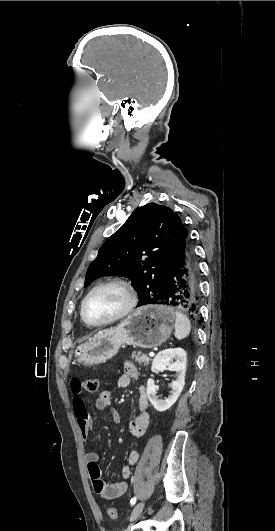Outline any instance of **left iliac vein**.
<instances>
[{
	"mask_svg": "<svg viewBox=\"0 0 275 531\" xmlns=\"http://www.w3.org/2000/svg\"><path fill=\"white\" fill-rule=\"evenodd\" d=\"M144 506V501H140L139 503H137V505L133 508L131 512L130 522H134L139 517V515L142 513Z\"/></svg>",
	"mask_w": 275,
	"mask_h": 531,
	"instance_id": "left-iliac-vein-1",
	"label": "left iliac vein"
}]
</instances>
